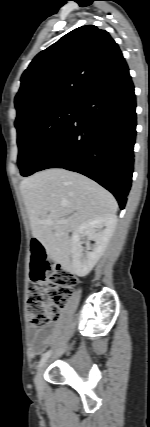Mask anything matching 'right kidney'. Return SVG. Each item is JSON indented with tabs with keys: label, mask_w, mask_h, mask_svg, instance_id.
<instances>
[{
	"label": "right kidney",
	"mask_w": 150,
	"mask_h": 427,
	"mask_svg": "<svg viewBox=\"0 0 150 427\" xmlns=\"http://www.w3.org/2000/svg\"><path fill=\"white\" fill-rule=\"evenodd\" d=\"M117 216L109 215L82 223L71 237L72 271L80 277L90 273L102 257L116 228ZM95 241L91 251L84 249L82 240Z\"/></svg>",
	"instance_id": "obj_1"
}]
</instances>
